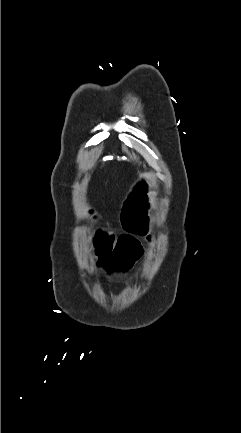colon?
<instances>
[{"label":"colon","instance_id":"colon-1","mask_svg":"<svg viewBox=\"0 0 241 433\" xmlns=\"http://www.w3.org/2000/svg\"><path fill=\"white\" fill-rule=\"evenodd\" d=\"M141 180H151V173H141ZM137 188L126 186L124 200L121 201L122 225L129 228L130 234H124L123 230H114L113 225H98L92 236L96 238L95 249L103 252L104 259H94L95 268L100 272L112 270L114 261L122 270L127 269L140 253V242L136 239L135 233L141 232L142 228H152V223H143L146 220L147 209L151 203L147 197H151L154 182L138 181ZM135 191V192H134ZM101 212H90L86 218L90 221H101ZM104 260L106 261L105 263Z\"/></svg>","mask_w":241,"mask_h":433}]
</instances>
